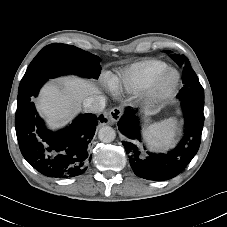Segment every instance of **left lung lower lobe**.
<instances>
[{
	"label": "left lung lower lobe",
	"mask_w": 227,
	"mask_h": 227,
	"mask_svg": "<svg viewBox=\"0 0 227 227\" xmlns=\"http://www.w3.org/2000/svg\"><path fill=\"white\" fill-rule=\"evenodd\" d=\"M179 98V97H178ZM185 117V133L180 144L168 154H156L142 148L137 111L126 108L118 128L126 136L123 145L134 173L148 180H168L178 175L197 153L204 124V98H179Z\"/></svg>",
	"instance_id": "0a47b994"
}]
</instances>
